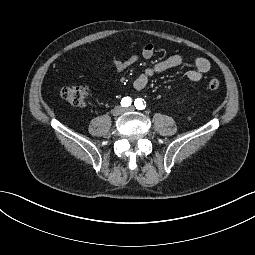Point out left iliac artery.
<instances>
[{"instance_id":"left-iliac-artery-1","label":"left iliac artery","mask_w":255,"mask_h":255,"mask_svg":"<svg viewBox=\"0 0 255 255\" xmlns=\"http://www.w3.org/2000/svg\"><path fill=\"white\" fill-rule=\"evenodd\" d=\"M134 105L138 110H143L146 107V103L142 98H137Z\"/></svg>"}]
</instances>
